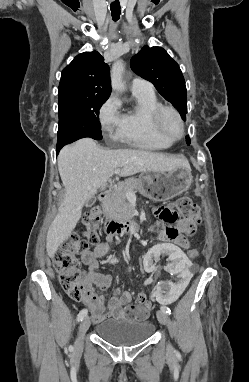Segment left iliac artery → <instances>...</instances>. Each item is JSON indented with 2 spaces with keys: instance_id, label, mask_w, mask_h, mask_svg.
Here are the masks:
<instances>
[{
  "instance_id": "1",
  "label": "left iliac artery",
  "mask_w": 249,
  "mask_h": 382,
  "mask_svg": "<svg viewBox=\"0 0 249 382\" xmlns=\"http://www.w3.org/2000/svg\"><path fill=\"white\" fill-rule=\"evenodd\" d=\"M161 310L164 311L166 314H171V310L168 307L162 306Z\"/></svg>"
}]
</instances>
